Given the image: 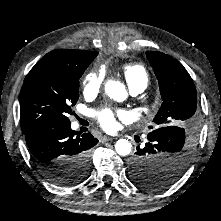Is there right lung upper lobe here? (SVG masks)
I'll return each mask as SVG.
<instances>
[{"label":"right lung upper lobe","instance_id":"cb5924a9","mask_svg":"<svg viewBox=\"0 0 221 221\" xmlns=\"http://www.w3.org/2000/svg\"><path fill=\"white\" fill-rule=\"evenodd\" d=\"M97 52L59 49L47 53L31 69L27 76L56 68L77 66L94 59Z\"/></svg>","mask_w":221,"mask_h":221}]
</instances>
